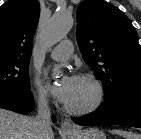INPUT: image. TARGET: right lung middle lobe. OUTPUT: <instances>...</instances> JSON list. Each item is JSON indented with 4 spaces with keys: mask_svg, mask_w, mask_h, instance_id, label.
Segmentation results:
<instances>
[{
    "mask_svg": "<svg viewBox=\"0 0 141 139\" xmlns=\"http://www.w3.org/2000/svg\"><path fill=\"white\" fill-rule=\"evenodd\" d=\"M30 58H0V93L30 90Z\"/></svg>",
    "mask_w": 141,
    "mask_h": 139,
    "instance_id": "dd1d6c3e",
    "label": "right lung middle lobe"
}]
</instances>
